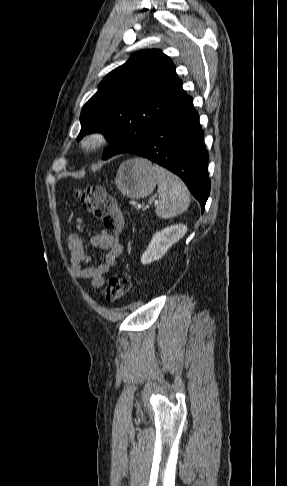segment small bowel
I'll return each instance as SVG.
<instances>
[{
	"label": "small bowel",
	"mask_w": 287,
	"mask_h": 486,
	"mask_svg": "<svg viewBox=\"0 0 287 486\" xmlns=\"http://www.w3.org/2000/svg\"><path fill=\"white\" fill-rule=\"evenodd\" d=\"M77 227L84 231L90 226V221L84 217H78ZM69 250V263L71 274L80 281H88L93 288H100L104 284V275L115 266L118 257L123 252V245L119 237L102 231L90 237L88 241L78 233H71L67 237ZM89 247H95L105 251L104 261L96 266H86L91 258L87 253Z\"/></svg>",
	"instance_id": "c3829d8e"
}]
</instances>
